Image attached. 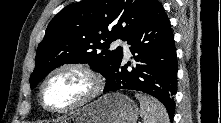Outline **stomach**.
Instances as JSON below:
<instances>
[{
  "mask_svg": "<svg viewBox=\"0 0 221 123\" xmlns=\"http://www.w3.org/2000/svg\"><path fill=\"white\" fill-rule=\"evenodd\" d=\"M138 115V107L131 98L109 93L69 114L60 123H136Z\"/></svg>",
  "mask_w": 221,
  "mask_h": 123,
  "instance_id": "1",
  "label": "stomach"
}]
</instances>
